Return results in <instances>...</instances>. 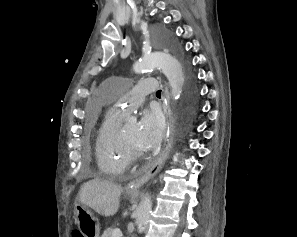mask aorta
<instances>
[{"label":"aorta","mask_w":297,"mask_h":237,"mask_svg":"<svg viewBox=\"0 0 297 237\" xmlns=\"http://www.w3.org/2000/svg\"><path fill=\"white\" fill-rule=\"evenodd\" d=\"M160 69L167 77L172 97L176 100L180 98L185 77L181 63L170 53L155 52L144 56L133 65L135 73H142L150 69ZM134 121L133 118L128 119ZM152 209V201L149 195H145L136 210V225L138 233H143L149 223Z\"/></svg>","instance_id":"762f6f07"}]
</instances>
